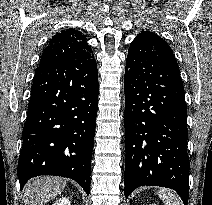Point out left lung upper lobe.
Listing matches in <instances>:
<instances>
[{
	"label": "left lung upper lobe",
	"instance_id": "5c2ea615",
	"mask_svg": "<svg viewBox=\"0 0 212 205\" xmlns=\"http://www.w3.org/2000/svg\"><path fill=\"white\" fill-rule=\"evenodd\" d=\"M151 32L149 31H146V32H142L140 33L137 37H141V36H144V35H147V34H150Z\"/></svg>",
	"mask_w": 212,
	"mask_h": 205
}]
</instances>
